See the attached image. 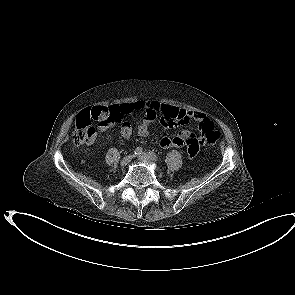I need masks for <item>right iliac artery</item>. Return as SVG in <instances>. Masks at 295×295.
<instances>
[{
  "label": "right iliac artery",
  "mask_w": 295,
  "mask_h": 295,
  "mask_svg": "<svg viewBox=\"0 0 295 295\" xmlns=\"http://www.w3.org/2000/svg\"><path fill=\"white\" fill-rule=\"evenodd\" d=\"M142 152H143V149H142L141 147H137V148L135 149V151H134V154H135V155H140V154H142Z\"/></svg>",
  "instance_id": "right-iliac-artery-1"
}]
</instances>
